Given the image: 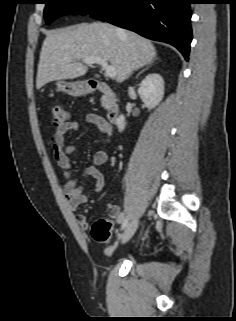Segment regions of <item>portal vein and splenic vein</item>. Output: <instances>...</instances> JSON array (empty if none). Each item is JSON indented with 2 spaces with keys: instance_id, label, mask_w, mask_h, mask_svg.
<instances>
[{
  "instance_id": "portal-vein-and-splenic-vein-1",
  "label": "portal vein and splenic vein",
  "mask_w": 236,
  "mask_h": 321,
  "mask_svg": "<svg viewBox=\"0 0 236 321\" xmlns=\"http://www.w3.org/2000/svg\"><path fill=\"white\" fill-rule=\"evenodd\" d=\"M83 63L87 64V65H91V64H98L102 67V69L105 71V74L110 77H116V69L114 66L109 65L107 63V61L101 57H88L83 59Z\"/></svg>"
}]
</instances>
